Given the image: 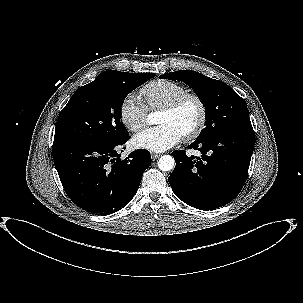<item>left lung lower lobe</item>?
Segmentation results:
<instances>
[{"mask_svg":"<svg viewBox=\"0 0 303 303\" xmlns=\"http://www.w3.org/2000/svg\"><path fill=\"white\" fill-rule=\"evenodd\" d=\"M254 139V133L238 132L195 141L188 148L199 150L200 158L172 152L176 166L168 181L175 195L200 210L232 201L246 182Z\"/></svg>","mask_w":303,"mask_h":303,"instance_id":"obj_1","label":"left lung lower lobe"}]
</instances>
